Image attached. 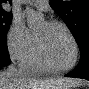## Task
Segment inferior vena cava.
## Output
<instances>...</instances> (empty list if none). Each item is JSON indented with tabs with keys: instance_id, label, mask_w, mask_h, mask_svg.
<instances>
[{
	"instance_id": "inferior-vena-cava-1",
	"label": "inferior vena cava",
	"mask_w": 89,
	"mask_h": 89,
	"mask_svg": "<svg viewBox=\"0 0 89 89\" xmlns=\"http://www.w3.org/2000/svg\"><path fill=\"white\" fill-rule=\"evenodd\" d=\"M7 71H9L10 73H20V70L17 69L14 61H12L11 65L8 67Z\"/></svg>"
}]
</instances>
